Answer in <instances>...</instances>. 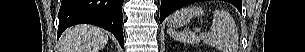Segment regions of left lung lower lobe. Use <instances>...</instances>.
Instances as JSON below:
<instances>
[{"mask_svg":"<svg viewBox=\"0 0 305 52\" xmlns=\"http://www.w3.org/2000/svg\"><path fill=\"white\" fill-rule=\"evenodd\" d=\"M198 1L201 0H161L160 23L178 8ZM236 7L240 10L241 2Z\"/></svg>","mask_w":305,"mask_h":52,"instance_id":"0a47b994","label":"left lung lower lobe"}]
</instances>
